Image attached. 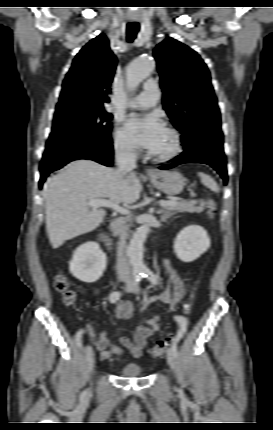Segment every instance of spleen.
<instances>
[{
    "label": "spleen",
    "instance_id": "1",
    "mask_svg": "<svg viewBox=\"0 0 273 430\" xmlns=\"http://www.w3.org/2000/svg\"><path fill=\"white\" fill-rule=\"evenodd\" d=\"M201 182L208 187L209 189H211L212 191L218 193L219 192V186L217 185L216 181L209 175L203 173V172H199L198 173Z\"/></svg>",
    "mask_w": 273,
    "mask_h": 430
}]
</instances>
